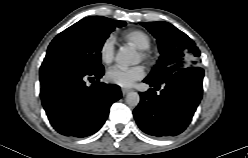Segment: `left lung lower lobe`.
Returning <instances> with one entry per match:
<instances>
[{"label":"left lung lower lobe","instance_id":"left-lung-lower-lobe-1","mask_svg":"<svg viewBox=\"0 0 248 158\" xmlns=\"http://www.w3.org/2000/svg\"><path fill=\"white\" fill-rule=\"evenodd\" d=\"M204 71L197 66L179 70L165 81L148 77L144 82L151 87L140 93V103L133 114L140 129L156 137L176 136L182 133L192 120L202 98ZM160 84L164 88L159 94Z\"/></svg>","mask_w":248,"mask_h":158}]
</instances>
